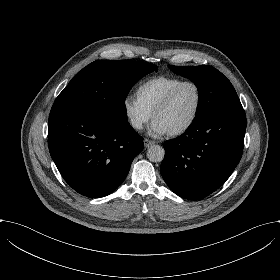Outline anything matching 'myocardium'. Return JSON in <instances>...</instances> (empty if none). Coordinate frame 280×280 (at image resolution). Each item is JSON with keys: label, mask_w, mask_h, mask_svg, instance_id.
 Returning <instances> with one entry per match:
<instances>
[{"label": "myocardium", "mask_w": 280, "mask_h": 280, "mask_svg": "<svg viewBox=\"0 0 280 280\" xmlns=\"http://www.w3.org/2000/svg\"><path fill=\"white\" fill-rule=\"evenodd\" d=\"M186 84H193L197 89V93H198L197 107H196L195 113H194L193 117L191 118V120L189 122H187L185 125L172 130L170 132L172 135H180V134L187 132L197 122V120L200 116V113L202 111L203 101H204L203 88H202L201 84L198 81L193 80V79H185V80L181 81L178 85H176L174 88H172L168 92V94L158 104V106L156 107V109L154 111V117H156L161 111H163L170 105V103L172 102V100H173L174 96L176 95V93L178 92V90Z\"/></svg>", "instance_id": "myocardium-1"}]
</instances>
